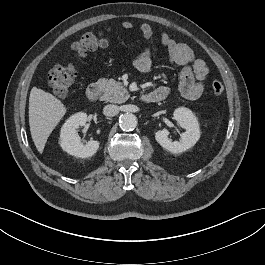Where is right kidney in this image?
<instances>
[{
  "mask_svg": "<svg viewBox=\"0 0 265 265\" xmlns=\"http://www.w3.org/2000/svg\"><path fill=\"white\" fill-rule=\"evenodd\" d=\"M86 122L87 114L79 112L69 117L64 123L59 138V143L63 151L80 158L91 157L97 152L99 148L98 141L92 140L83 145L78 136L77 129L85 125Z\"/></svg>",
  "mask_w": 265,
  "mask_h": 265,
  "instance_id": "ca27d5eb",
  "label": "right kidney"
}]
</instances>
